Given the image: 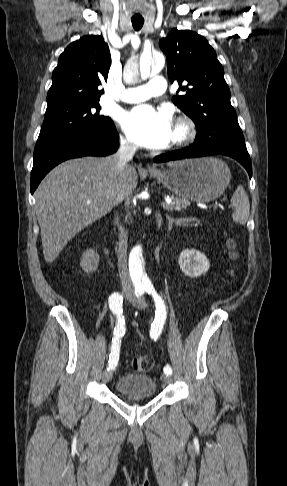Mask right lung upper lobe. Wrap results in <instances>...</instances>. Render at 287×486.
Masks as SVG:
<instances>
[{"label": "right lung upper lobe", "instance_id": "right-lung-upper-lobe-1", "mask_svg": "<svg viewBox=\"0 0 287 486\" xmlns=\"http://www.w3.org/2000/svg\"><path fill=\"white\" fill-rule=\"evenodd\" d=\"M111 56L102 36L88 35L71 43L60 55L47 94V107L100 99L99 86L107 81Z\"/></svg>", "mask_w": 287, "mask_h": 486}]
</instances>
